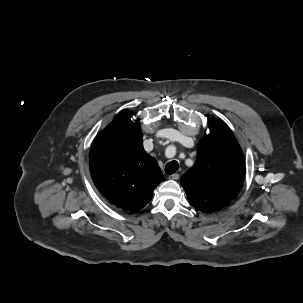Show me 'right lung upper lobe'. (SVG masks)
Wrapping results in <instances>:
<instances>
[{
  "instance_id": "1",
  "label": "right lung upper lobe",
  "mask_w": 303,
  "mask_h": 303,
  "mask_svg": "<svg viewBox=\"0 0 303 303\" xmlns=\"http://www.w3.org/2000/svg\"><path fill=\"white\" fill-rule=\"evenodd\" d=\"M142 132L130 117H118L96 137L90 153L92 179L110 203L138 211L164 177L143 149Z\"/></svg>"
}]
</instances>
